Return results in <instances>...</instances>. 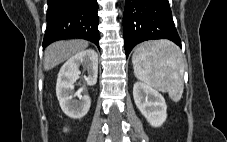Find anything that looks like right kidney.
<instances>
[{"mask_svg":"<svg viewBox=\"0 0 227 142\" xmlns=\"http://www.w3.org/2000/svg\"><path fill=\"white\" fill-rule=\"evenodd\" d=\"M87 70L84 79L88 86H94L98 76V55L93 49H87L72 56L60 69L56 95L62 111L73 119L84 117L89 111L91 100L88 95L74 93V83L79 78V67ZM78 96L79 100L74 99Z\"/></svg>","mask_w":227,"mask_h":142,"instance_id":"right-kidney-1","label":"right kidney"}]
</instances>
